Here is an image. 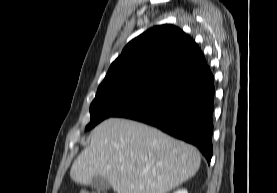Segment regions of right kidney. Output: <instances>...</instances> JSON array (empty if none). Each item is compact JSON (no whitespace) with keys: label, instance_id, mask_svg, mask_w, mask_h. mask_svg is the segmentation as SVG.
<instances>
[{"label":"right kidney","instance_id":"ca27d5eb","mask_svg":"<svg viewBox=\"0 0 277 193\" xmlns=\"http://www.w3.org/2000/svg\"><path fill=\"white\" fill-rule=\"evenodd\" d=\"M174 193H188V192H187V190L182 189V190L175 191Z\"/></svg>","mask_w":277,"mask_h":193}]
</instances>
